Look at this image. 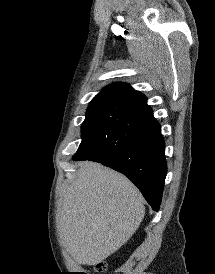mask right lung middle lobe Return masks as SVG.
Returning <instances> with one entry per match:
<instances>
[{"label": "right lung middle lobe", "mask_w": 215, "mask_h": 274, "mask_svg": "<svg viewBox=\"0 0 215 274\" xmlns=\"http://www.w3.org/2000/svg\"><path fill=\"white\" fill-rule=\"evenodd\" d=\"M155 121L150 112L114 102H91L81 127L82 142L73 160L110 159Z\"/></svg>", "instance_id": "dd1d6c3e"}]
</instances>
